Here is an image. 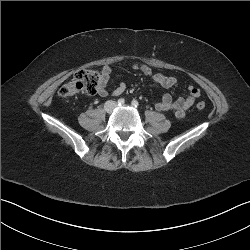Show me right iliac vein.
Returning <instances> with one entry per match:
<instances>
[{
  "label": "right iliac vein",
  "mask_w": 250,
  "mask_h": 250,
  "mask_svg": "<svg viewBox=\"0 0 250 250\" xmlns=\"http://www.w3.org/2000/svg\"><path fill=\"white\" fill-rule=\"evenodd\" d=\"M116 107V103L114 101H108L105 104L106 112L110 113Z\"/></svg>",
  "instance_id": "63e3f726"
}]
</instances>
